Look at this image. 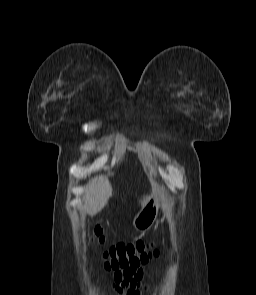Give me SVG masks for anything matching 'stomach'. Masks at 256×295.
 Instances as JSON below:
<instances>
[{"label":"stomach","instance_id":"stomach-1","mask_svg":"<svg viewBox=\"0 0 256 295\" xmlns=\"http://www.w3.org/2000/svg\"><path fill=\"white\" fill-rule=\"evenodd\" d=\"M163 200V192L153 193L148 202L133 218V226L136 230H148L157 218L159 208Z\"/></svg>","mask_w":256,"mask_h":295}]
</instances>
